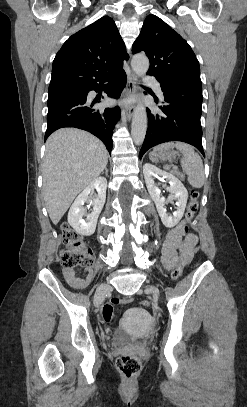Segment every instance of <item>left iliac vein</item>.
I'll return each instance as SVG.
<instances>
[{
	"mask_svg": "<svg viewBox=\"0 0 247 407\" xmlns=\"http://www.w3.org/2000/svg\"><path fill=\"white\" fill-rule=\"evenodd\" d=\"M146 290L148 291V292H150L152 295H154V296H158L159 295V290H158V288H156L155 286H152V285H148L147 287H146Z\"/></svg>",
	"mask_w": 247,
	"mask_h": 407,
	"instance_id": "4c4485c4",
	"label": "left iliac vein"
}]
</instances>
